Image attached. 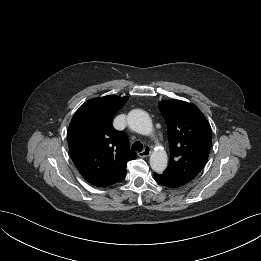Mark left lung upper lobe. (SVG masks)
<instances>
[{"label": "left lung upper lobe", "mask_w": 261, "mask_h": 261, "mask_svg": "<svg viewBox=\"0 0 261 261\" xmlns=\"http://www.w3.org/2000/svg\"><path fill=\"white\" fill-rule=\"evenodd\" d=\"M159 107L167 123L170 145V162L163 174L186 184L207 162L211 127L194 104L170 100L161 101Z\"/></svg>", "instance_id": "left-lung-upper-lobe-1"}]
</instances>
